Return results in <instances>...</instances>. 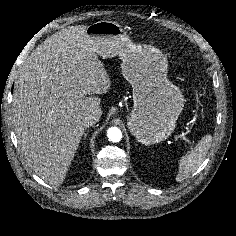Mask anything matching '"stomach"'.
I'll use <instances>...</instances> for the list:
<instances>
[{"label": "stomach", "instance_id": "0dacf381", "mask_svg": "<svg viewBox=\"0 0 236 236\" xmlns=\"http://www.w3.org/2000/svg\"><path fill=\"white\" fill-rule=\"evenodd\" d=\"M96 54L102 58L119 56L125 79L133 87V110L127 126L145 145L167 139L183 110L184 98L167 79V60L160 50L133 43L117 22L98 21L86 28Z\"/></svg>", "mask_w": 236, "mask_h": 236}]
</instances>
